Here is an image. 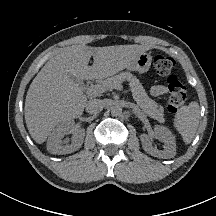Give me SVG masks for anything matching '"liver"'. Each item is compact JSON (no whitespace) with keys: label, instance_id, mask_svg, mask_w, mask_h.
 I'll use <instances>...</instances> for the list:
<instances>
[{"label":"liver","instance_id":"obj_1","mask_svg":"<svg viewBox=\"0 0 216 216\" xmlns=\"http://www.w3.org/2000/svg\"><path fill=\"white\" fill-rule=\"evenodd\" d=\"M149 48L142 45L91 47L84 44L55 52L32 81L25 100V121L38 144L61 122L80 117L86 106L77 80L105 79L127 68ZM93 56L92 66H88Z\"/></svg>","mask_w":216,"mask_h":216}]
</instances>
